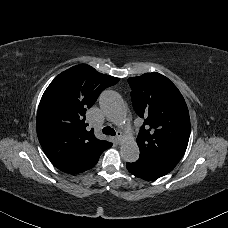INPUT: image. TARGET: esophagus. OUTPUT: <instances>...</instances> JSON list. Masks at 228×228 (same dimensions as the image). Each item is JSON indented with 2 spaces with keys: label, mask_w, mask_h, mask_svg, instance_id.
I'll return each instance as SVG.
<instances>
[{
  "label": "esophagus",
  "mask_w": 228,
  "mask_h": 228,
  "mask_svg": "<svg viewBox=\"0 0 228 228\" xmlns=\"http://www.w3.org/2000/svg\"><path fill=\"white\" fill-rule=\"evenodd\" d=\"M116 137H117V139H118V144H121V140H122V138H123L122 133L118 131V132L116 133Z\"/></svg>",
  "instance_id": "1"
}]
</instances>
